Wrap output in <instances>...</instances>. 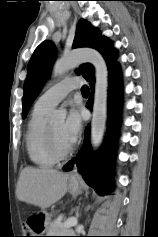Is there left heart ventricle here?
<instances>
[{
  "label": "left heart ventricle",
  "instance_id": "b2bd125f",
  "mask_svg": "<svg viewBox=\"0 0 158 237\" xmlns=\"http://www.w3.org/2000/svg\"><path fill=\"white\" fill-rule=\"evenodd\" d=\"M62 126H63V122H55V123L50 124V129H51L56 147L60 151H65L71 145H69L62 136Z\"/></svg>",
  "mask_w": 158,
  "mask_h": 237
}]
</instances>
